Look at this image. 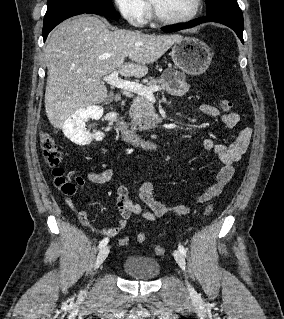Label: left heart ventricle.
Here are the masks:
<instances>
[{"mask_svg":"<svg viewBox=\"0 0 284 319\" xmlns=\"http://www.w3.org/2000/svg\"><path fill=\"white\" fill-rule=\"evenodd\" d=\"M154 7L167 17H184L191 13L195 0H150Z\"/></svg>","mask_w":284,"mask_h":319,"instance_id":"1","label":"left heart ventricle"}]
</instances>
